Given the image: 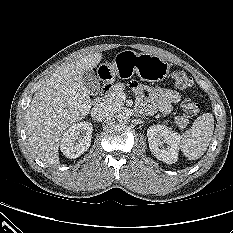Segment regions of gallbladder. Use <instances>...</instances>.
Returning a JSON list of instances; mask_svg holds the SVG:
<instances>
[{
	"instance_id": "gallbladder-1",
	"label": "gallbladder",
	"mask_w": 233,
	"mask_h": 233,
	"mask_svg": "<svg viewBox=\"0 0 233 233\" xmlns=\"http://www.w3.org/2000/svg\"><path fill=\"white\" fill-rule=\"evenodd\" d=\"M82 82L91 94H97L100 90V83L92 69L86 70L82 74Z\"/></svg>"
}]
</instances>
